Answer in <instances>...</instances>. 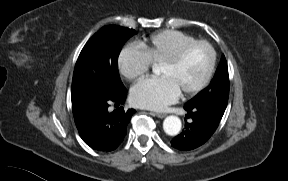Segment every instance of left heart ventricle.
<instances>
[{"mask_svg":"<svg viewBox=\"0 0 288 181\" xmlns=\"http://www.w3.org/2000/svg\"><path fill=\"white\" fill-rule=\"evenodd\" d=\"M211 63V52L206 46L191 49L176 65L159 64L156 72L169 78L180 92L192 88L202 81Z\"/></svg>","mask_w":288,"mask_h":181,"instance_id":"left-heart-ventricle-1","label":"left heart ventricle"}]
</instances>
